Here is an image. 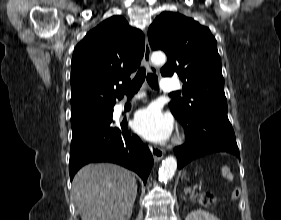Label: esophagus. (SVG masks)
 <instances>
[{"mask_svg": "<svg viewBox=\"0 0 281 220\" xmlns=\"http://www.w3.org/2000/svg\"><path fill=\"white\" fill-rule=\"evenodd\" d=\"M151 56V48L148 42V39L145 40V49H144V56H143V65L145 66L147 72L149 73H157V68L151 64L150 61ZM151 153L153 155L154 161H160L164 156V150L155 146L150 147Z\"/></svg>", "mask_w": 281, "mask_h": 220, "instance_id": "obj_1", "label": "esophagus"}]
</instances>
